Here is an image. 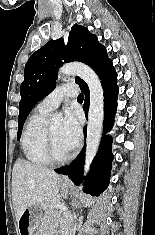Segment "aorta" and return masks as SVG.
Listing matches in <instances>:
<instances>
[{"label": "aorta", "mask_w": 155, "mask_h": 235, "mask_svg": "<svg viewBox=\"0 0 155 235\" xmlns=\"http://www.w3.org/2000/svg\"><path fill=\"white\" fill-rule=\"evenodd\" d=\"M59 72L65 76L78 75L84 80L90 91V105L88 113L86 157L84 165V176L88 173L89 167L94 159L102 132L104 96L103 88L97 74L89 66L83 63H68L63 65ZM52 121L61 120L59 114L51 116ZM82 186V185H81Z\"/></svg>", "instance_id": "762f6f07"}]
</instances>
